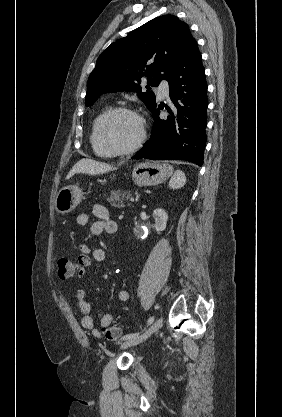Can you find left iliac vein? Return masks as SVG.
Segmentation results:
<instances>
[{"mask_svg":"<svg viewBox=\"0 0 282 417\" xmlns=\"http://www.w3.org/2000/svg\"><path fill=\"white\" fill-rule=\"evenodd\" d=\"M163 325V318H159L157 319L150 327L148 330H146L144 333L139 334L129 340L124 341L120 348L121 349H125L134 345H137L143 341H145L146 339H148L152 334H154L155 332H157Z\"/></svg>","mask_w":282,"mask_h":417,"instance_id":"4c4485c4","label":"left iliac vein"}]
</instances>
